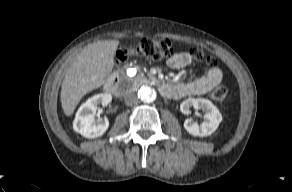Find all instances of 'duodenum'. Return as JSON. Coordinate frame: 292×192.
Listing matches in <instances>:
<instances>
[{"mask_svg":"<svg viewBox=\"0 0 292 192\" xmlns=\"http://www.w3.org/2000/svg\"><path fill=\"white\" fill-rule=\"evenodd\" d=\"M106 91L119 96L122 93L120 75L118 73L113 74L106 83ZM169 84H161L159 89L160 92L165 95L169 91Z\"/></svg>","mask_w":292,"mask_h":192,"instance_id":"obj_1","label":"duodenum"}]
</instances>
